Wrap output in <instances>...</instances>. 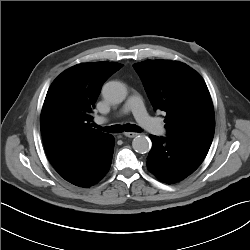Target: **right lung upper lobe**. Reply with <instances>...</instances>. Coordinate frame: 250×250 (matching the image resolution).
<instances>
[{
	"label": "right lung upper lobe",
	"instance_id": "cb5924a9",
	"mask_svg": "<svg viewBox=\"0 0 250 250\" xmlns=\"http://www.w3.org/2000/svg\"><path fill=\"white\" fill-rule=\"evenodd\" d=\"M122 66L115 62L82 63L54 80L40 118L44 147L54 168L109 135L91 128V112L104 82Z\"/></svg>",
	"mask_w": 250,
	"mask_h": 250
}]
</instances>
